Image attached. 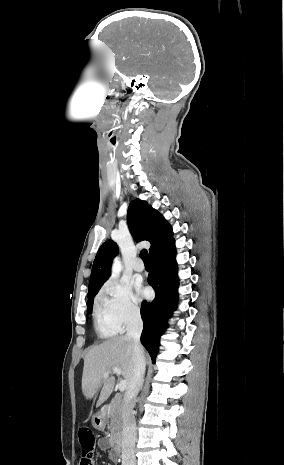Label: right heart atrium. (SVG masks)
I'll return each instance as SVG.
<instances>
[{
  "mask_svg": "<svg viewBox=\"0 0 284 465\" xmlns=\"http://www.w3.org/2000/svg\"><path fill=\"white\" fill-rule=\"evenodd\" d=\"M96 303L106 310L119 331L135 325L142 316V310L133 300L130 288L116 279L108 280L101 287Z\"/></svg>",
  "mask_w": 284,
  "mask_h": 465,
  "instance_id": "obj_1",
  "label": "right heart atrium"
}]
</instances>
